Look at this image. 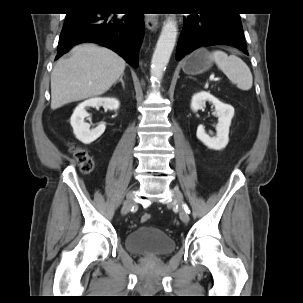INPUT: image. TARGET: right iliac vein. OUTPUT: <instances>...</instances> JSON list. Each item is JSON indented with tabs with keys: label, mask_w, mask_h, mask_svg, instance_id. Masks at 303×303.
Listing matches in <instances>:
<instances>
[{
	"label": "right iliac vein",
	"mask_w": 303,
	"mask_h": 303,
	"mask_svg": "<svg viewBox=\"0 0 303 303\" xmlns=\"http://www.w3.org/2000/svg\"><path fill=\"white\" fill-rule=\"evenodd\" d=\"M134 204V193L129 192L126 197V201L122 207L121 213L122 215H126L131 210L132 206Z\"/></svg>",
	"instance_id": "1"
}]
</instances>
